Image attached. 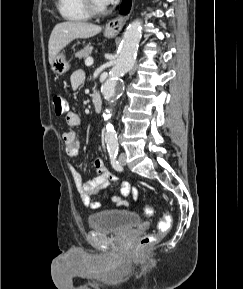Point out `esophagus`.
<instances>
[{
    "instance_id": "esophagus-1",
    "label": "esophagus",
    "mask_w": 243,
    "mask_h": 289,
    "mask_svg": "<svg viewBox=\"0 0 243 289\" xmlns=\"http://www.w3.org/2000/svg\"><path fill=\"white\" fill-rule=\"evenodd\" d=\"M130 13L127 15L118 14L115 18L111 19L105 26V31L111 34H118L125 22L128 20Z\"/></svg>"
}]
</instances>
